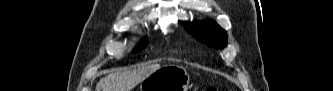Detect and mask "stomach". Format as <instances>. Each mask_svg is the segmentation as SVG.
Instances as JSON below:
<instances>
[{
	"mask_svg": "<svg viewBox=\"0 0 333 91\" xmlns=\"http://www.w3.org/2000/svg\"><path fill=\"white\" fill-rule=\"evenodd\" d=\"M189 75L177 65H166L155 70L140 85V91H188Z\"/></svg>",
	"mask_w": 333,
	"mask_h": 91,
	"instance_id": "0dacf381",
	"label": "stomach"
}]
</instances>
